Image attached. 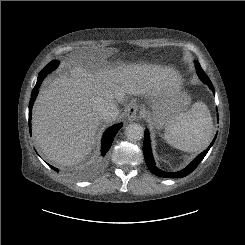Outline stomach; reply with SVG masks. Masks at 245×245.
Wrapping results in <instances>:
<instances>
[{
  "instance_id": "0dacf381",
  "label": "stomach",
  "mask_w": 245,
  "mask_h": 245,
  "mask_svg": "<svg viewBox=\"0 0 245 245\" xmlns=\"http://www.w3.org/2000/svg\"><path fill=\"white\" fill-rule=\"evenodd\" d=\"M190 102L181 85H168L149 96L150 119L157 128L166 127L189 111Z\"/></svg>"
}]
</instances>
